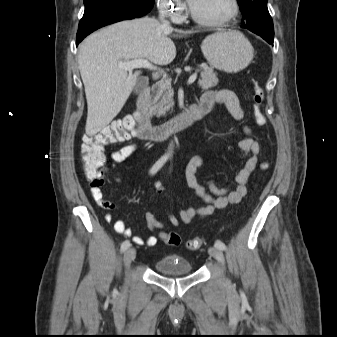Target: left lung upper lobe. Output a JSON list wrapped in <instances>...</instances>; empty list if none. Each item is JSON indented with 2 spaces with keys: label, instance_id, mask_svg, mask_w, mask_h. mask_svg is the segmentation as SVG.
<instances>
[{
  "label": "left lung upper lobe",
  "instance_id": "left-lung-upper-lobe-1",
  "mask_svg": "<svg viewBox=\"0 0 337 337\" xmlns=\"http://www.w3.org/2000/svg\"><path fill=\"white\" fill-rule=\"evenodd\" d=\"M242 11V24L273 29L272 18L267 8V0H237Z\"/></svg>",
  "mask_w": 337,
  "mask_h": 337
}]
</instances>
